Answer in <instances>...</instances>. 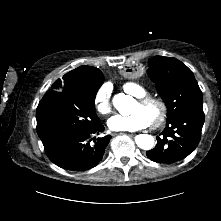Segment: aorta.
<instances>
[{"mask_svg": "<svg viewBox=\"0 0 221 221\" xmlns=\"http://www.w3.org/2000/svg\"><path fill=\"white\" fill-rule=\"evenodd\" d=\"M132 101L133 98L131 96L119 93L114 96L113 105L121 114H123ZM135 142L139 148L143 150H150L154 146V137L148 134H140L136 136Z\"/></svg>", "mask_w": 221, "mask_h": 221, "instance_id": "1", "label": "aorta"}]
</instances>
